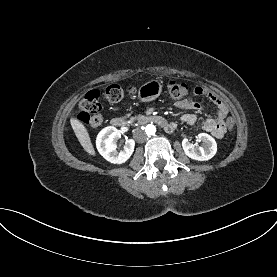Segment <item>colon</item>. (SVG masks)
Instances as JSON below:
<instances>
[{
  "instance_id": "colon-1",
  "label": "colon",
  "mask_w": 277,
  "mask_h": 277,
  "mask_svg": "<svg viewBox=\"0 0 277 277\" xmlns=\"http://www.w3.org/2000/svg\"><path fill=\"white\" fill-rule=\"evenodd\" d=\"M132 92L133 89H124L117 84L110 85L105 90H91L79 103L77 119L85 126L98 127L103 122L101 100L104 99L110 103H118L125 95ZM167 92L169 97L177 103L188 100L190 87L184 81L171 79L167 82ZM235 124L236 119L234 117L227 116L225 118V128L229 131L227 133L228 139L232 138Z\"/></svg>"
}]
</instances>
